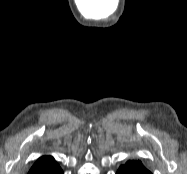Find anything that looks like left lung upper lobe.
I'll list each match as a JSON object with an SVG mask.
<instances>
[{
    "instance_id": "obj_1",
    "label": "left lung upper lobe",
    "mask_w": 187,
    "mask_h": 174,
    "mask_svg": "<svg viewBox=\"0 0 187 174\" xmlns=\"http://www.w3.org/2000/svg\"><path fill=\"white\" fill-rule=\"evenodd\" d=\"M127 164L135 166V167H143L140 161H128Z\"/></svg>"
}]
</instances>
